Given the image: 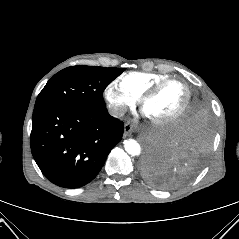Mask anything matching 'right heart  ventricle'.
<instances>
[{
    "label": "right heart ventricle",
    "mask_w": 239,
    "mask_h": 239,
    "mask_svg": "<svg viewBox=\"0 0 239 239\" xmlns=\"http://www.w3.org/2000/svg\"><path fill=\"white\" fill-rule=\"evenodd\" d=\"M167 77L155 72H129L122 75L118 83L125 91L139 98L149 87Z\"/></svg>",
    "instance_id": "1"
}]
</instances>
